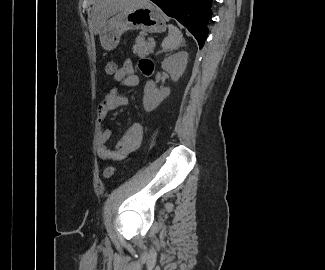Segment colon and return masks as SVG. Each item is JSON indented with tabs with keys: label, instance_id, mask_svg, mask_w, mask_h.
Instances as JSON below:
<instances>
[{
	"label": "colon",
	"instance_id": "5ec220e1",
	"mask_svg": "<svg viewBox=\"0 0 325 270\" xmlns=\"http://www.w3.org/2000/svg\"><path fill=\"white\" fill-rule=\"evenodd\" d=\"M118 70L117 64L113 60H109L105 65V73L109 77H114ZM115 169L113 167H107L103 171L104 178H110L114 175Z\"/></svg>",
	"mask_w": 325,
	"mask_h": 270
}]
</instances>
